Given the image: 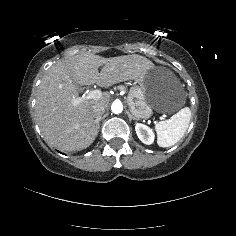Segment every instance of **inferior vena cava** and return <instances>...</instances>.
I'll return each instance as SVG.
<instances>
[{
  "label": "inferior vena cava",
  "mask_w": 236,
  "mask_h": 236,
  "mask_svg": "<svg viewBox=\"0 0 236 236\" xmlns=\"http://www.w3.org/2000/svg\"><path fill=\"white\" fill-rule=\"evenodd\" d=\"M92 110H93V118H95V122H98L101 115L105 113V106L93 105Z\"/></svg>",
  "instance_id": "602c4592"
}]
</instances>
